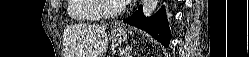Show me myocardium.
<instances>
[{
  "mask_svg": "<svg viewBox=\"0 0 249 57\" xmlns=\"http://www.w3.org/2000/svg\"><path fill=\"white\" fill-rule=\"evenodd\" d=\"M107 0H96L95 5L97 7V10L100 12L102 17L104 18H113L121 15L125 10V4L120 3L118 7L114 10L107 9L106 6Z\"/></svg>",
  "mask_w": 249,
  "mask_h": 57,
  "instance_id": "1",
  "label": "myocardium"
}]
</instances>
